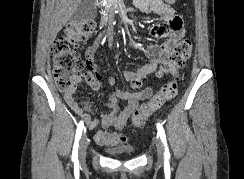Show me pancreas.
Segmentation results:
<instances>
[{
  "label": "pancreas",
  "mask_w": 244,
  "mask_h": 179,
  "mask_svg": "<svg viewBox=\"0 0 244 179\" xmlns=\"http://www.w3.org/2000/svg\"><path fill=\"white\" fill-rule=\"evenodd\" d=\"M115 0H107L106 8L103 10V12H111L112 6H114ZM111 14L109 16H104L103 20H108L110 18Z\"/></svg>",
  "instance_id": "obj_1"
}]
</instances>
